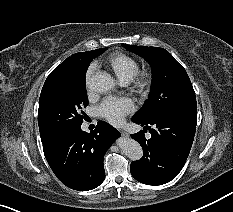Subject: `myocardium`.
I'll return each mask as SVG.
<instances>
[{
  "instance_id": "f54148a6",
  "label": "myocardium",
  "mask_w": 233,
  "mask_h": 212,
  "mask_svg": "<svg viewBox=\"0 0 233 212\" xmlns=\"http://www.w3.org/2000/svg\"><path fill=\"white\" fill-rule=\"evenodd\" d=\"M149 85V76L147 73H138L133 79H132V88L133 91L142 94Z\"/></svg>"
}]
</instances>
